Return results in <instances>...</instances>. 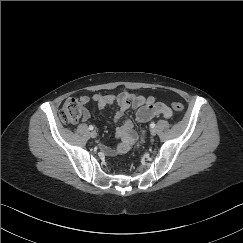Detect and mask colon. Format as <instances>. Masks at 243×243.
Returning a JSON list of instances; mask_svg holds the SVG:
<instances>
[{"instance_id":"5ec220e1","label":"colon","mask_w":243,"mask_h":243,"mask_svg":"<svg viewBox=\"0 0 243 243\" xmlns=\"http://www.w3.org/2000/svg\"><path fill=\"white\" fill-rule=\"evenodd\" d=\"M171 107L177 113H182L184 111V105L180 102L172 103ZM82 113V101L80 99L69 98L63 103L58 117L63 123H76L82 116Z\"/></svg>"}]
</instances>
